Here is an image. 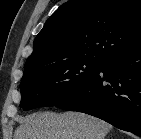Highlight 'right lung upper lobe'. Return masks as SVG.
I'll list each match as a JSON object with an SVG mask.
<instances>
[{"label":"right lung upper lobe","mask_w":141,"mask_h":139,"mask_svg":"<svg viewBox=\"0 0 141 139\" xmlns=\"http://www.w3.org/2000/svg\"><path fill=\"white\" fill-rule=\"evenodd\" d=\"M141 42V0H71L46 21L25 70L77 57L105 59Z\"/></svg>","instance_id":"obj_1"}]
</instances>
